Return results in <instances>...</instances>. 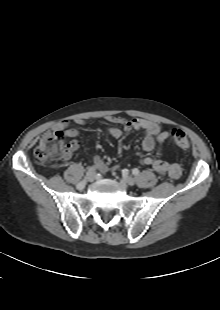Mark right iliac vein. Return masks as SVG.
<instances>
[{
	"mask_svg": "<svg viewBox=\"0 0 220 310\" xmlns=\"http://www.w3.org/2000/svg\"><path fill=\"white\" fill-rule=\"evenodd\" d=\"M95 179H96L95 174H90L89 177H88V181L89 182H93Z\"/></svg>",
	"mask_w": 220,
	"mask_h": 310,
	"instance_id": "1",
	"label": "right iliac vein"
}]
</instances>
